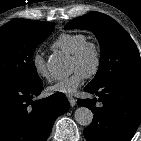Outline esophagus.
<instances>
[{
    "label": "esophagus",
    "mask_w": 141,
    "mask_h": 141,
    "mask_svg": "<svg viewBox=\"0 0 141 141\" xmlns=\"http://www.w3.org/2000/svg\"><path fill=\"white\" fill-rule=\"evenodd\" d=\"M67 98H68V101H69V103L72 107L76 105V99L75 98H73L72 96H68Z\"/></svg>",
    "instance_id": "esophagus-1"
}]
</instances>
